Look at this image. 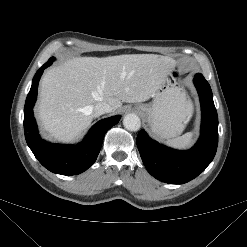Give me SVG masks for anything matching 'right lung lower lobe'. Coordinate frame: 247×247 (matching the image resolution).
Instances as JSON below:
<instances>
[{
	"mask_svg": "<svg viewBox=\"0 0 247 247\" xmlns=\"http://www.w3.org/2000/svg\"><path fill=\"white\" fill-rule=\"evenodd\" d=\"M46 62L35 74L24 107V130L28 146L39 162L49 171L61 175H77L87 170L97 159L105 133L120 120L114 116L97 122L85 139L78 145L48 143L38 134L33 116V105L43 70L50 66Z\"/></svg>",
	"mask_w": 247,
	"mask_h": 247,
	"instance_id": "right-lung-lower-lobe-1",
	"label": "right lung lower lobe"
}]
</instances>
